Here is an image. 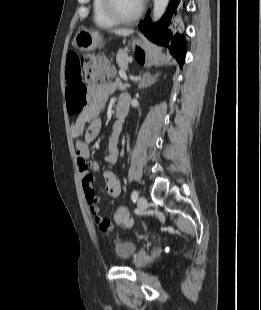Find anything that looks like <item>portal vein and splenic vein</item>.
I'll list each match as a JSON object with an SVG mask.
<instances>
[{
	"mask_svg": "<svg viewBox=\"0 0 261 310\" xmlns=\"http://www.w3.org/2000/svg\"><path fill=\"white\" fill-rule=\"evenodd\" d=\"M119 75H120V77H121L124 81H128V78H127V76H126V74H125L124 71L120 70V71H119Z\"/></svg>",
	"mask_w": 261,
	"mask_h": 310,
	"instance_id": "1",
	"label": "portal vein and splenic vein"
}]
</instances>
